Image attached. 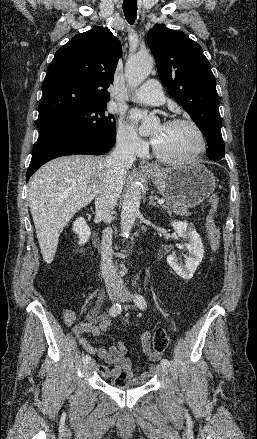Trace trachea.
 <instances>
[{"mask_svg": "<svg viewBox=\"0 0 257 439\" xmlns=\"http://www.w3.org/2000/svg\"><path fill=\"white\" fill-rule=\"evenodd\" d=\"M122 8L128 23L133 24L137 17V1L123 0Z\"/></svg>", "mask_w": 257, "mask_h": 439, "instance_id": "1", "label": "trachea"}]
</instances>
